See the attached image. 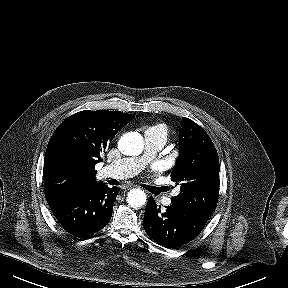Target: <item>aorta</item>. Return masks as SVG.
<instances>
[{"label": "aorta", "mask_w": 288, "mask_h": 288, "mask_svg": "<svg viewBox=\"0 0 288 288\" xmlns=\"http://www.w3.org/2000/svg\"><path fill=\"white\" fill-rule=\"evenodd\" d=\"M118 148L125 155L137 156L144 148L143 137L137 132L126 133L120 138ZM146 199V194L141 189H132L127 195V203L133 208L143 206Z\"/></svg>", "instance_id": "obj_1"}]
</instances>
